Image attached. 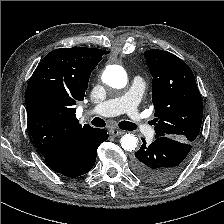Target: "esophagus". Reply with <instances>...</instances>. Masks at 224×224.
I'll list each match as a JSON object with an SVG mask.
<instances>
[{"label":"esophagus","mask_w":224,"mask_h":224,"mask_svg":"<svg viewBox=\"0 0 224 224\" xmlns=\"http://www.w3.org/2000/svg\"><path fill=\"white\" fill-rule=\"evenodd\" d=\"M110 133L113 135V136H119V135H122L124 133V131L122 130H118V129H112L110 131Z\"/></svg>","instance_id":"1"}]
</instances>
